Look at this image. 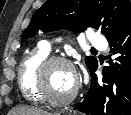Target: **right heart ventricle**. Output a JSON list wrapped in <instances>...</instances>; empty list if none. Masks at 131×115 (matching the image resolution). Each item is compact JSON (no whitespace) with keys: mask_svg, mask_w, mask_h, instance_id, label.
Instances as JSON below:
<instances>
[{"mask_svg":"<svg viewBox=\"0 0 131 115\" xmlns=\"http://www.w3.org/2000/svg\"><path fill=\"white\" fill-rule=\"evenodd\" d=\"M49 52L37 47L27 53L21 60L17 70V82L23 98L33 104L44 101L35 89V74L39 64L48 57Z\"/></svg>","mask_w":131,"mask_h":115,"instance_id":"obj_1","label":"right heart ventricle"}]
</instances>
